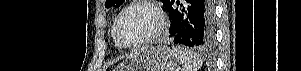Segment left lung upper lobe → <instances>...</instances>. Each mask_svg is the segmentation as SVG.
<instances>
[{"mask_svg":"<svg viewBox=\"0 0 301 71\" xmlns=\"http://www.w3.org/2000/svg\"><path fill=\"white\" fill-rule=\"evenodd\" d=\"M125 0H106L105 7L111 8V7H119ZM163 2V5L167 3L168 0H161Z\"/></svg>","mask_w":301,"mask_h":71,"instance_id":"obj_1","label":"left lung upper lobe"}]
</instances>
